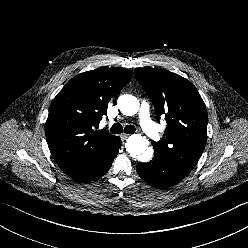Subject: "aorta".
<instances>
[{
	"label": "aorta",
	"mask_w": 248,
	"mask_h": 248,
	"mask_svg": "<svg viewBox=\"0 0 248 248\" xmlns=\"http://www.w3.org/2000/svg\"><path fill=\"white\" fill-rule=\"evenodd\" d=\"M117 105L120 111L127 116L136 114L139 110V101L136 97L124 94L118 98ZM149 141L140 134L131 135L125 144L126 150L132 157L141 162H148L153 156V150L148 148Z\"/></svg>",
	"instance_id": "obj_1"
}]
</instances>
